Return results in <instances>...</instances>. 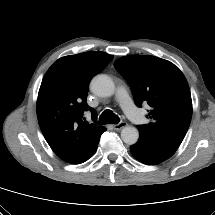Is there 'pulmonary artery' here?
<instances>
[{
    "label": "pulmonary artery",
    "instance_id": "pulmonary-artery-1",
    "mask_svg": "<svg viewBox=\"0 0 215 215\" xmlns=\"http://www.w3.org/2000/svg\"><path fill=\"white\" fill-rule=\"evenodd\" d=\"M116 100L122 107L125 114L135 123L142 124L145 121L144 116L135 107L127 90L123 86H119L116 90Z\"/></svg>",
    "mask_w": 215,
    "mask_h": 215
}]
</instances>
